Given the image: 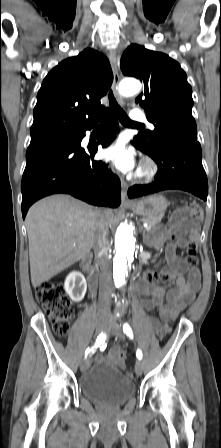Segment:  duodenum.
I'll return each instance as SVG.
<instances>
[{"mask_svg":"<svg viewBox=\"0 0 221 448\" xmlns=\"http://www.w3.org/2000/svg\"><path fill=\"white\" fill-rule=\"evenodd\" d=\"M81 266H82V268L84 270H89L90 269L88 260H83ZM91 284H92V286H94L96 284V282L92 281Z\"/></svg>","mask_w":221,"mask_h":448,"instance_id":"obj_1","label":"duodenum"}]
</instances>
